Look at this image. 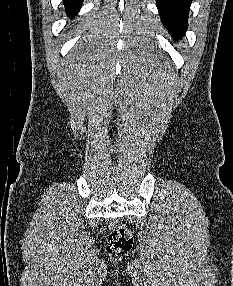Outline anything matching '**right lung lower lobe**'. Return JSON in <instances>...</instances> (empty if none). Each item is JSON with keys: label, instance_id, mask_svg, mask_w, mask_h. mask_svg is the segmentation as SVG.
<instances>
[{"label": "right lung lower lobe", "instance_id": "1", "mask_svg": "<svg viewBox=\"0 0 233 286\" xmlns=\"http://www.w3.org/2000/svg\"><path fill=\"white\" fill-rule=\"evenodd\" d=\"M63 2L69 17H73L82 5V0H63Z\"/></svg>", "mask_w": 233, "mask_h": 286}]
</instances>
